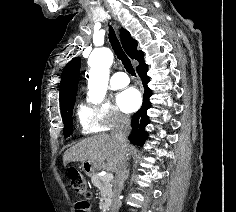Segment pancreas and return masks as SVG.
Masks as SVG:
<instances>
[{"label": "pancreas", "instance_id": "1", "mask_svg": "<svg viewBox=\"0 0 236 212\" xmlns=\"http://www.w3.org/2000/svg\"><path fill=\"white\" fill-rule=\"evenodd\" d=\"M92 184L99 189V199H100V209L102 211H107L111 204L112 189L109 180H106L105 177L98 176L94 174L91 177Z\"/></svg>", "mask_w": 236, "mask_h": 212}]
</instances>
